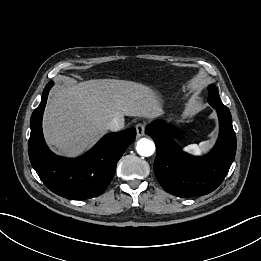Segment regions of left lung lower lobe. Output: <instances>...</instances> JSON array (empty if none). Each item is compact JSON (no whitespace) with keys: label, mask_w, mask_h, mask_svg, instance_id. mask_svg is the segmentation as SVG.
Instances as JSON below:
<instances>
[{"label":"left lung lower lobe","mask_w":261,"mask_h":261,"mask_svg":"<svg viewBox=\"0 0 261 261\" xmlns=\"http://www.w3.org/2000/svg\"><path fill=\"white\" fill-rule=\"evenodd\" d=\"M219 118V137L212 151L194 157L174 141V129L162 122L146 127L157 147L154 172L157 180L170 194L193 197L214 191L224 180L236 153V135L229 111L216 109Z\"/></svg>","instance_id":"0a47b994"}]
</instances>
